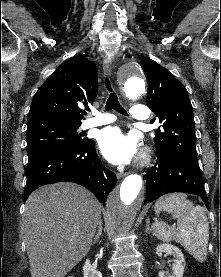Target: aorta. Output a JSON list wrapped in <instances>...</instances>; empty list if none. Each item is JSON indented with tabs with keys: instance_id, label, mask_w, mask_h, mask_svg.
<instances>
[{
	"instance_id": "762f6f07",
	"label": "aorta",
	"mask_w": 221,
	"mask_h": 277,
	"mask_svg": "<svg viewBox=\"0 0 221 277\" xmlns=\"http://www.w3.org/2000/svg\"><path fill=\"white\" fill-rule=\"evenodd\" d=\"M119 81L123 93L129 99H136L145 93V78L138 66H125L119 74ZM141 189L142 177L131 174L107 198L106 208L109 218L120 234H127L133 227L143 201Z\"/></svg>"
}]
</instances>
